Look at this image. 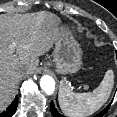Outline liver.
<instances>
[{
  "mask_svg": "<svg viewBox=\"0 0 117 117\" xmlns=\"http://www.w3.org/2000/svg\"><path fill=\"white\" fill-rule=\"evenodd\" d=\"M59 23L50 12L0 17V112L14 96L20 70L34 71L38 57L53 47Z\"/></svg>",
  "mask_w": 117,
  "mask_h": 117,
  "instance_id": "6515ba94",
  "label": "liver"
}]
</instances>
